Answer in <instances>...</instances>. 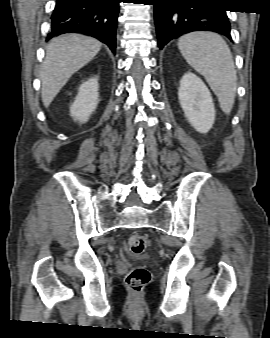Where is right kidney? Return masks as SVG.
Instances as JSON below:
<instances>
[{
  "label": "right kidney",
  "mask_w": 270,
  "mask_h": 338,
  "mask_svg": "<svg viewBox=\"0 0 270 338\" xmlns=\"http://www.w3.org/2000/svg\"><path fill=\"white\" fill-rule=\"evenodd\" d=\"M98 79L91 78L79 87V92L70 107V115L75 121L85 123L98 104Z\"/></svg>",
  "instance_id": "obj_1"
}]
</instances>
